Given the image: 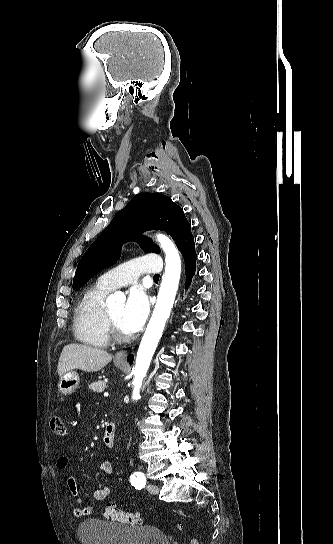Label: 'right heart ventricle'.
<instances>
[{"label": "right heart ventricle", "instance_id": "1", "mask_svg": "<svg viewBox=\"0 0 333 544\" xmlns=\"http://www.w3.org/2000/svg\"><path fill=\"white\" fill-rule=\"evenodd\" d=\"M110 289L99 282L85 291L76 305L73 331L82 343L94 347H106L110 335L106 322L105 297Z\"/></svg>", "mask_w": 333, "mask_h": 544}]
</instances>
